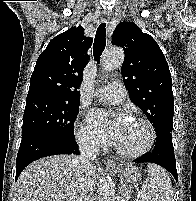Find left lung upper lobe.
<instances>
[{
    "label": "left lung upper lobe",
    "instance_id": "left-lung-upper-lobe-1",
    "mask_svg": "<svg viewBox=\"0 0 196 201\" xmlns=\"http://www.w3.org/2000/svg\"><path fill=\"white\" fill-rule=\"evenodd\" d=\"M113 40L125 52L121 73L131 101L153 123L157 136L172 132V79L159 45L133 22L119 23Z\"/></svg>",
    "mask_w": 196,
    "mask_h": 201
}]
</instances>
